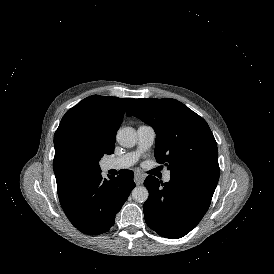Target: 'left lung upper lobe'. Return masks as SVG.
Here are the masks:
<instances>
[{"label":"left lung upper lobe","mask_w":274,"mask_h":274,"mask_svg":"<svg viewBox=\"0 0 274 274\" xmlns=\"http://www.w3.org/2000/svg\"><path fill=\"white\" fill-rule=\"evenodd\" d=\"M131 115L155 130V158L170 175L218 182L217 144L202 117L171 98L137 99L127 111Z\"/></svg>","instance_id":"obj_1"}]
</instances>
